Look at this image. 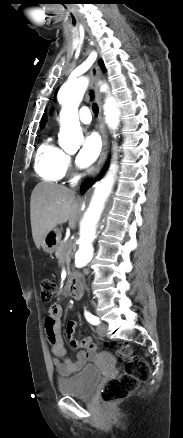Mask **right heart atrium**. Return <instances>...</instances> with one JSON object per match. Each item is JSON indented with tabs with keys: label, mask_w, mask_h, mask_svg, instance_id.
Instances as JSON below:
<instances>
[{
	"label": "right heart atrium",
	"mask_w": 183,
	"mask_h": 438,
	"mask_svg": "<svg viewBox=\"0 0 183 438\" xmlns=\"http://www.w3.org/2000/svg\"><path fill=\"white\" fill-rule=\"evenodd\" d=\"M66 167H67V169L71 167V158L69 156H67V159H66Z\"/></svg>",
	"instance_id": "obj_1"
}]
</instances>
